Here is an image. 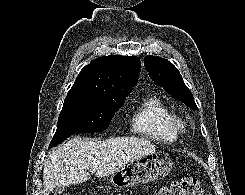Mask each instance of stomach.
Returning <instances> with one entry per match:
<instances>
[{
  "mask_svg": "<svg viewBox=\"0 0 245 195\" xmlns=\"http://www.w3.org/2000/svg\"><path fill=\"white\" fill-rule=\"evenodd\" d=\"M172 161L166 155L153 153L135 159L111 175L110 182L116 189L129 188L162 179L172 169Z\"/></svg>",
  "mask_w": 245,
  "mask_h": 195,
  "instance_id": "stomach-1",
  "label": "stomach"
}]
</instances>
